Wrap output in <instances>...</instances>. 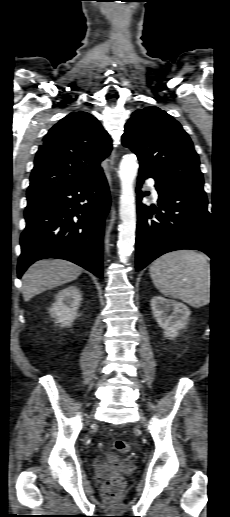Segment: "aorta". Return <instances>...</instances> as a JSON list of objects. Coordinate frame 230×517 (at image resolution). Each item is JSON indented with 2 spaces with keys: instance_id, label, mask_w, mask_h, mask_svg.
I'll return each mask as SVG.
<instances>
[{
  "instance_id": "762f6f07",
  "label": "aorta",
  "mask_w": 230,
  "mask_h": 517,
  "mask_svg": "<svg viewBox=\"0 0 230 517\" xmlns=\"http://www.w3.org/2000/svg\"><path fill=\"white\" fill-rule=\"evenodd\" d=\"M138 163L133 154H127L121 160L119 166V178L121 182L120 195V219L118 231V254L121 262H126L132 254L135 243L136 231V206L134 194V181L137 175Z\"/></svg>"
}]
</instances>
